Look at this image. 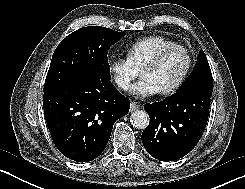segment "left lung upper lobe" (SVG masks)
Here are the masks:
<instances>
[{"label": "left lung upper lobe", "mask_w": 245, "mask_h": 189, "mask_svg": "<svg viewBox=\"0 0 245 189\" xmlns=\"http://www.w3.org/2000/svg\"><path fill=\"white\" fill-rule=\"evenodd\" d=\"M188 89H200L209 93L213 91V79L205 53L200 50L196 65L190 77L177 92Z\"/></svg>", "instance_id": "5c2ea615"}]
</instances>
